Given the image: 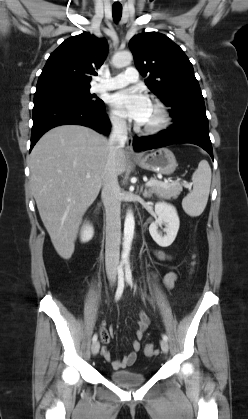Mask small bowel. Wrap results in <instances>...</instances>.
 <instances>
[{
  "label": "small bowel",
  "instance_id": "obj_1",
  "mask_svg": "<svg viewBox=\"0 0 248 419\" xmlns=\"http://www.w3.org/2000/svg\"><path fill=\"white\" fill-rule=\"evenodd\" d=\"M154 254L159 260H162V261L171 259L170 254L161 250L154 251ZM163 280L166 286L171 288L174 286L177 280V275L173 271H168L164 275ZM149 325H150V317L143 311L139 312L138 329L135 334L136 338L132 342V350L122 359L111 361V365L113 369L115 370L123 369L135 363L137 359V354L141 350V347H142L141 340L143 339L144 334L146 330L148 329ZM102 330H103V342L104 344H107L110 341V339L114 336V331L112 328H108L105 326H102ZM101 354L106 360H111V353L109 349L107 348V346H104L102 348Z\"/></svg>",
  "mask_w": 248,
  "mask_h": 419
}]
</instances>
